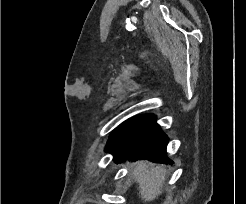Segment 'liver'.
<instances>
[{
  "label": "liver",
  "mask_w": 246,
  "mask_h": 204,
  "mask_svg": "<svg viewBox=\"0 0 246 204\" xmlns=\"http://www.w3.org/2000/svg\"><path fill=\"white\" fill-rule=\"evenodd\" d=\"M133 177L138 183L139 196L145 202L155 200L161 193L166 180V169L162 165L149 167L147 161H139L133 169Z\"/></svg>",
  "instance_id": "liver-1"
}]
</instances>
